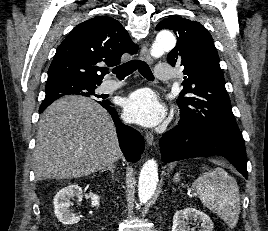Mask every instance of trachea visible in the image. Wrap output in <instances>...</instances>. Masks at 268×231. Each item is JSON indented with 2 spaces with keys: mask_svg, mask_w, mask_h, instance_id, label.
<instances>
[{
  "mask_svg": "<svg viewBox=\"0 0 268 231\" xmlns=\"http://www.w3.org/2000/svg\"><path fill=\"white\" fill-rule=\"evenodd\" d=\"M137 69L146 79L154 80L151 69L144 61L141 60H132L127 63H124L120 66L113 68L112 72L116 74L117 78H125Z\"/></svg>",
  "mask_w": 268,
  "mask_h": 231,
  "instance_id": "1",
  "label": "trachea"
}]
</instances>
